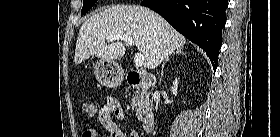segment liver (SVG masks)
Returning <instances> with one entry per match:
<instances>
[{"label": "liver", "instance_id": "6515ba94", "mask_svg": "<svg viewBox=\"0 0 280 137\" xmlns=\"http://www.w3.org/2000/svg\"><path fill=\"white\" fill-rule=\"evenodd\" d=\"M114 35L132 37L148 69L156 68L169 54L186 44L183 35L150 9L117 5L92 15L83 23L76 43L75 64L91 56L112 61L123 57L126 49L122 40L105 43L107 37Z\"/></svg>", "mask_w": 280, "mask_h": 137}]
</instances>
